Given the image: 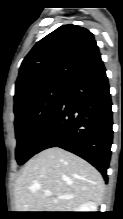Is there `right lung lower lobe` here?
<instances>
[{
    "label": "right lung lower lobe",
    "instance_id": "1",
    "mask_svg": "<svg viewBox=\"0 0 123 219\" xmlns=\"http://www.w3.org/2000/svg\"><path fill=\"white\" fill-rule=\"evenodd\" d=\"M111 106L100 57L66 83L36 152L56 146L68 150L91 163L107 181L113 135Z\"/></svg>",
    "mask_w": 123,
    "mask_h": 219
}]
</instances>
